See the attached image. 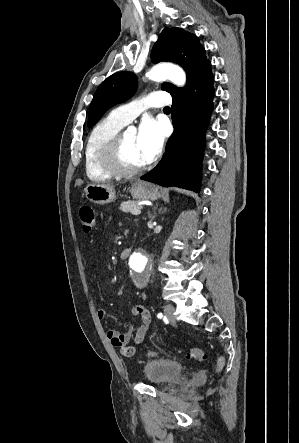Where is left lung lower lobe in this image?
Masks as SVG:
<instances>
[{
    "mask_svg": "<svg viewBox=\"0 0 299 443\" xmlns=\"http://www.w3.org/2000/svg\"><path fill=\"white\" fill-rule=\"evenodd\" d=\"M214 77L208 61L188 85L173 97L176 128L158 165L142 180L199 192L204 137L213 110Z\"/></svg>",
    "mask_w": 299,
    "mask_h": 443,
    "instance_id": "1",
    "label": "left lung lower lobe"
}]
</instances>
